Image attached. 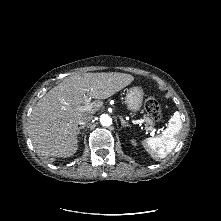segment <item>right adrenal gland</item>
I'll return each mask as SVG.
<instances>
[{"label": "right adrenal gland", "instance_id": "obj_1", "mask_svg": "<svg viewBox=\"0 0 221 221\" xmlns=\"http://www.w3.org/2000/svg\"><path fill=\"white\" fill-rule=\"evenodd\" d=\"M84 128H85V125L78 127L77 133L79 134V133H80V130H81V129H84Z\"/></svg>", "mask_w": 221, "mask_h": 221}]
</instances>
